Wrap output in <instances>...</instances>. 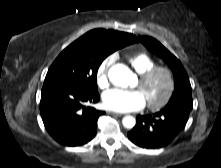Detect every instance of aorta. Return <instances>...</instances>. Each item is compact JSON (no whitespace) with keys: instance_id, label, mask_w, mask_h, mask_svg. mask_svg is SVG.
I'll return each instance as SVG.
<instances>
[{"instance_id":"aorta-1","label":"aorta","mask_w":221,"mask_h":168,"mask_svg":"<svg viewBox=\"0 0 221 168\" xmlns=\"http://www.w3.org/2000/svg\"><path fill=\"white\" fill-rule=\"evenodd\" d=\"M111 83L115 86L127 87L132 78V71L124 64H116L112 66L108 73ZM122 124L127 129H132L136 120L133 116H125L122 119Z\"/></svg>"}]
</instances>
